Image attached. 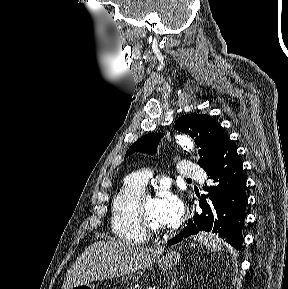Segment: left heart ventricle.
Instances as JSON below:
<instances>
[{"instance_id":"1","label":"left heart ventricle","mask_w":288,"mask_h":289,"mask_svg":"<svg viewBox=\"0 0 288 289\" xmlns=\"http://www.w3.org/2000/svg\"><path fill=\"white\" fill-rule=\"evenodd\" d=\"M144 213L148 220L159 229H164L165 225L160 222L158 211V199L149 198L144 203Z\"/></svg>"}]
</instances>
